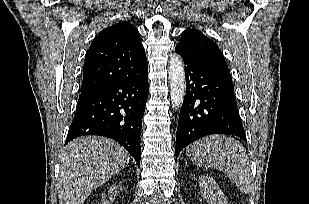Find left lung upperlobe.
<instances>
[{"label":"left lung upper lobe","mask_w":309,"mask_h":204,"mask_svg":"<svg viewBox=\"0 0 309 204\" xmlns=\"http://www.w3.org/2000/svg\"><path fill=\"white\" fill-rule=\"evenodd\" d=\"M187 58L206 64L216 70L230 74L224 56L212 39L202 32L187 29L181 33V40L175 49Z\"/></svg>","instance_id":"left-lung-upper-lobe-1"}]
</instances>
